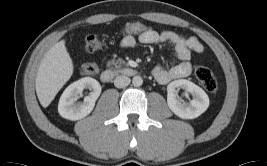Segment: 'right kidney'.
<instances>
[{
	"instance_id": "ca27d5eb",
	"label": "right kidney",
	"mask_w": 267,
	"mask_h": 166,
	"mask_svg": "<svg viewBox=\"0 0 267 166\" xmlns=\"http://www.w3.org/2000/svg\"><path fill=\"white\" fill-rule=\"evenodd\" d=\"M91 90L83 102H76L84 89ZM101 93V86L97 80L84 77L70 84L60 97L58 104L59 114L72 121L80 120L91 113L95 102Z\"/></svg>"
}]
</instances>
